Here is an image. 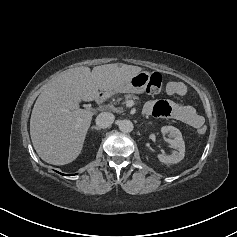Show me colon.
Returning a JSON list of instances; mask_svg holds the SVG:
<instances>
[{
    "label": "colon",
    "mask_w": 237,
    "mask_h": 237,
    "mask_svg": "<svg viewBox=\"0 0 237 237\" xmlns=\"http://www.w3.org/2000/svg\"><path fill=\"white\" fill-rule=\"evenodd\" d=\"M165 89V82L161 74L155 72L151 74L148 82V88L147 91L149 93H160ZM207 128L205 125H202L198 128V132L200 134H204L206 132Z\"/></svg>",
    "instance_id": "1"
}]
</instances>
